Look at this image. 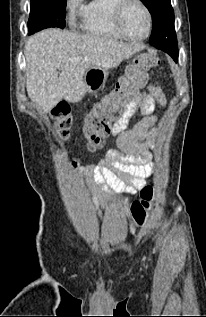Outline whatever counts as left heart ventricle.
<instances>
[{
	"label": "left heart ventricle",
	"instance_id": "1",
	"mask_svg": "<svg viewBox=\"0 0 206 317\" xmlns=\"http://www.w3.org/2000/svg\"><path fill=\"white\" fill-rule=\"evenodd\" d=\"M122 26L125 32L133 37H142L147 31V17L137 3H131L123 13Z\"/></svg>",
	"mask_w": 206,
	"mask_h": 317
}]
</instances>
